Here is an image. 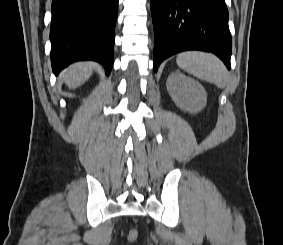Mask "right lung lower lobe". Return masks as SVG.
I'll list each match as a JSON object with an SVG mask.
<instances>
[{
	"mask_svg": "<svg viewBox=\"0 0 283 245\" xmlns=\"http://www.w3.org/2000/svg\"><path fill=\"white\" fill-rule=\"evenodd\" d=\"M118 0H53L50 29L55 75L78 60L101 63L109 75Z\"/></svg>",
	"mask_w": 283,
	"mask_h": 245,
	"instance_id": "1",
	"label": "right lung lower lobe"
}]
</instances>
